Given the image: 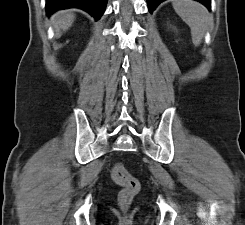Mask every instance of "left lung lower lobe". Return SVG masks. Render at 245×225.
<instances>
[{
    "instance_id": "1",
    "label": "left lung lower lobe",
    "mask_w": 245,
    "mask_h": 225,
    "mask_svg": "<svg viewBox=\"0 0 245 225\" xmlns=\"http://www.w3.org/2000/svg\"><path fill=\"white\" fill-rule=\"evenodd\" d=\"M164 0H147L148 2V10L150 13H152V11L157 7V5L161 2H163ZM201 2L203 5H205L208 9H210L211 5H210V0H196Z\"/></svg>"
}]
</instances>
